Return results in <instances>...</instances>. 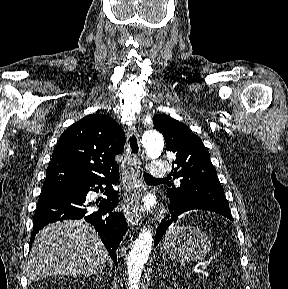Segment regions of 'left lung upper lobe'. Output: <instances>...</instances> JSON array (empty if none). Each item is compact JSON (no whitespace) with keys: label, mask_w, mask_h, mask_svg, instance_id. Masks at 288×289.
I'll use <instances>...</instances> for the list:
<instances>
[{"label":"left lung upper lobe","mask_w":288,"mask_h":289,"mask_svg":"<svg viewBox=\"0 0 288 289\" xmlns=\"http://www.w3.org/2000/svg\"><path fill=\"white\" fill-rule=\"evenodd\" d=\"M153 124L163 134L166 149L173 157L171 175L181 182L180 186L170 185L167 190L171 203L197 206L232 218L224 189L201 138L167 115H155Z\"/></svg>","instance_id":"1"}]
</instances>
